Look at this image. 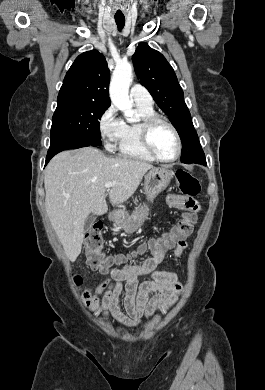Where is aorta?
<instances>
[{"label":"aorta","mask_w":265,"mask_h":390,"mask_svg":"<svg viewBox=\"0 0 265 390\" xmlns=\"http://www.w3.org/2000/svg\"><path fill=\"white\" fill-rule=\"evenodd\" d=\"M132 66L129 63H118L114 69L109 93L113 104L123 112L128 121L134 116L133 101L129 98V87L132 82Z\"/></svg>","instance_id":"762f6f07"}]
</instances>
